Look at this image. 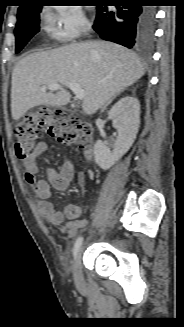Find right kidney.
I'll return each mask as SVG.
<instances>
[{
	"instance_id": "ca27d5eb",
	"label": "right kidney",
	"mask_w": 184,
	"mask_h": 327,
	"mask_svg": "<svg viewBox=\"0 0 184 327\" xmlns=\"http://www.w3.org/2000/svg\"><path fill=\"white\" fill-rule=\"evenodd\" d=\"M113 127L117 129L118 136L113 151L98 140L95 144V162L103 170L109 169L132 146L140 125V103L137 98L126 96L121 98L108 112Z\"/></svg>"
}]
</instances>
